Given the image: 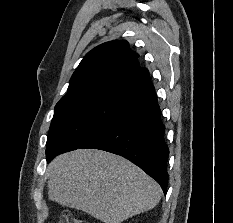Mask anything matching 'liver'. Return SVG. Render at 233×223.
<instances>
[{"label": "liver", "mask_w": 233, "mask_h": 223, "mask_svg": "<svg viewBox=\"0 0 233 223\" xmlns=\"http://www.w3.org/2000/svg\"><path fill=\"white\" fill-rule=\"evenodd\" d=\"M48 197L86 211L102 223H121L157 205L161 187L140 167L101 149H75L50 161Z\"/></svg>", "instance_id": "6515ba94"}]
</instances>
